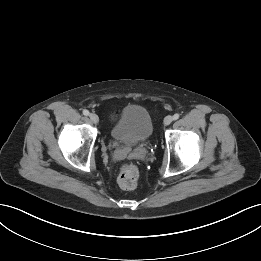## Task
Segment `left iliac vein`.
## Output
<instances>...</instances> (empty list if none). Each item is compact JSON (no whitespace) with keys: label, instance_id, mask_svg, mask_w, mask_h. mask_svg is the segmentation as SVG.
Wrapping results in <instances>:
<instances>
[{"label":"left iliac vein","instance_id":"obj_1","mask_svg":"<svg viewBox=\"0 0 261 261\" xmlns=\"http://www.w3.org/2000/svg\"><path fill=\"white\" fill-rule=\"evenodd\" d=\"M172 121H173V117H172V116H166V117L164 118V124H165V125L171 124Z\"/></svg>","mask_w":261,"mask_h":261}]
</instances>
